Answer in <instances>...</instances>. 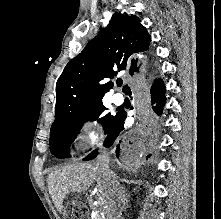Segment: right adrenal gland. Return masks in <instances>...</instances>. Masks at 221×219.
<instances>
[{
    "label": "right adrenal gland",
    "instance_id": "1",
    "mask_svg": "<svg viewBox=\"0 0 221 219\" xmlns=\"http://www.w3.org/2000/svg\"><path fill=\"white\" fill-rule=\"evenodd\" d=\"M124 191V193H125V190H123ZM125 195H126V203L125 204H128L129 203V197H130V193H125ZM125 207V206H124Z\"/></svg>",
    "mask_w": 221,
    "mask_h": 219
}]
</instances>
